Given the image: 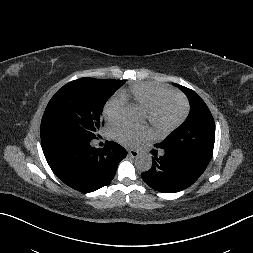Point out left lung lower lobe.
<instances>
[{
  "instance_id": "left-lung-lower-lobe-1",
  "label": "left lung lower lobe",
  "mask_w": 253,
  "mask_h": 253,
  "mask_svg": "<svg viewBox=\"0 0 253 253\" xmlns=\"http://www.w3.org/2000/svg\"><path fill=\"white\" fill-rule=\"evenodd\" d=\"M162 150L160 157H152L151 169L142 173L144 182L159 192L175 193L189 187L201 176L209 163L184 151Z\"/></svg>"
}]
</instances>
